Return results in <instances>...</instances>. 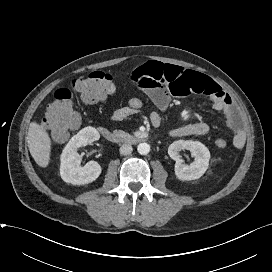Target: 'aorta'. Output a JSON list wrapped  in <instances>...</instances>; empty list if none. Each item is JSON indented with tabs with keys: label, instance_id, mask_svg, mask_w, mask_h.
<instances>
[{
	"label": "aorta",
	"instance_id": "1",
	"mask_svg": "<svg viewBox=\"0 0 272 272\" xmlns=\"http://www.w3.org/2000/svg\"><path fill=\"white\" fill-rule=\"evenodd\" d=\"M137 151L139 154L141 155H146L149 153L150 151V145L148 143H140L138 146H137Z\"/></svg>",
	"mask_w": 272,
	"mask_h": 272
}]
</instances>
